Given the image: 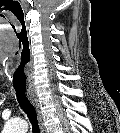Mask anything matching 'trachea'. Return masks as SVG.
<instances>
[{
  "label": "trachea",
  "mask_w": 120,
  "mask_h": 133,
  "mask_svg": "<svg viewBox=\"0 0 120 133\" xmlns=\"http://www.w3.org/2000/svg\"><path fill=\"white\" fill-rule=\"evenodd\" d=\"M17 100L21 109L28 115L32 124L33 133H41L38 125L37 113L34 105L30 102L26 95L25 88H15Z\"/></svg>",
  "instance_id": "1"
}]
</instances>
